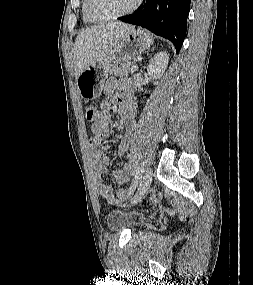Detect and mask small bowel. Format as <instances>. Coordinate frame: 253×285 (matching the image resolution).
I'll use <instances>...</instances> for the list:
<instances>
[{"label": "small bowel", "mask_w": 253, "mask_h": 285, "mask_svg": "<svg viewBox=\"0 0 253 285\" xmlns=\"http://www.w3.org/2000/svg\"><path fill=\"white\" fill-rule=\"evenodd\" d=\"M106 94H116L119 104L118 113L125 126V134L118 145V154L123 156L129 150L133 140L135 128L136 108L133 102L134 83L127 79L109 78L104 86ZM112 105L109 101H102L100 110H96L95 118L91 121V131L93 136L89 140L92 148V161L94 169V181L99 195L108 205H115L122 202L125 197L120 194V190L114 191L111 185L104 183L102 175L110 170V159L105 155L106 148L100 147L103 140L110 134L109 120ZM132 166L125 163L113 171L114 178L118 184H124L130 179Z\"/></svg>", "instance_id": "small-bowel-1"}]
</instances>
